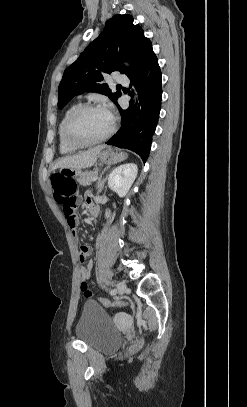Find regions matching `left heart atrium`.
Masks as SVG:
<instances>
[{
  "label": "left heart atrium",
  "mask_w": 247,
  "mask_h": 407,
  "mask_svg": "<svg viewBox=\"0 0 247 407\" xmlns=\"http://www.w3.org/2000/svg\"><path fill=\"white\" fill-rule=\"evenodd\" d=\"M107 112V114L109 115L110 119L112 118L111 114L109 111L105 110Z\"/></svg>",
  "instance_id": "left-heart-atrium-1"
}]
</instances>
